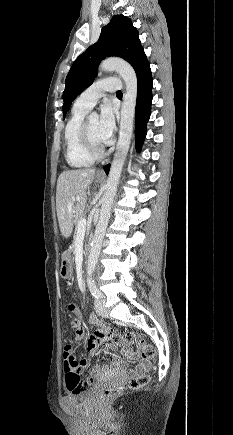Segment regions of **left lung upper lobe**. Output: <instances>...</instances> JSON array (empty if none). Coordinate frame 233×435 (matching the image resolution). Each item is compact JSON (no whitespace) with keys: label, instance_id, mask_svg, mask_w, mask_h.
Returning <instances> with one entry per match:
<instances>
[{"label":"left lung upper lobe","instance_id":"obj_1","mask_svg":"<svg viewBox=\"0 0 233 435\" xmlns=\"http://www.w3.org/2000/svg\"><path fill=\"white\" fill-rule=\"evenodd\" d=\"M110 56H118L128 61L136 74L149 64L138 31L126 16L115 15L102 28L98 41L74 61L66 77L63 92L64 117L72 101L93 83L100 61Z\"/></svg>","mask_w":233,"mask_h":435}]
</instances>
